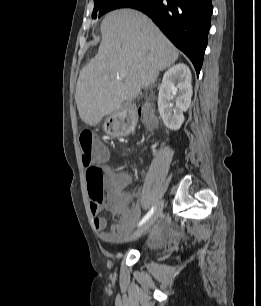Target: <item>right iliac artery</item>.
Listing matches in <instances>:
<instances>
[{
	"label": "right iliac artery",
	"mask_w": 261,
	"mask_h": 306,
	"mask_svg": "<svg viewBox=\"0 0 261 306\" xmlns=\"http://www.w3.org/2000/svg\"><path fill=\"white\" fill-rule=\"evenodd\" d=\"M154 213V207H152L148 213L143 217V219L139 222L138 226H141L143 223H145L150 217L151 215Z\"/></svg>",
	"instance_id": "1"
}]
</instances>
